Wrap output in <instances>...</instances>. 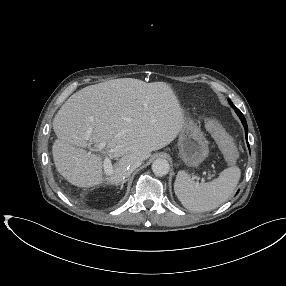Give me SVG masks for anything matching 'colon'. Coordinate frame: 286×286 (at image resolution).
Returning <instances> with one entry per match:
<instances>
[{
  "label": "colon",
  "instance_id": "5ec220e1",
  "mask_svg": "<svg viewBox=\"0 0 286 286\" xmlns=\"http://www.w3.org/2000/svg\"><path fill=\"white\" fill-rule=\"evenodd\" d=\"M206 127L219 146L225 160L229 164H233L238 158V152L231 136L214 119L207 120Z\"/></svg>",
  "mask_w": 286,
  "mask_h": 286
}]
</instances>
